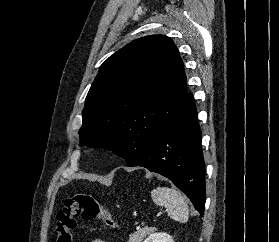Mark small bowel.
<instances>
[{"label": "small bowel", "mask_w": 279, "mask_h": 242, "mask_svg": "<svg viewBox=\"0 0 279 242\" xmlns=\"http://www.w3.org/2000/svg\"><path fill=\"white\" fill-rule=\"evenodd\" d=\"M89 242H108V241H106L104 239L97 238V239H93V240H91Z\"/></svg>", "instance_id": "obj_1"}]
</instances>
